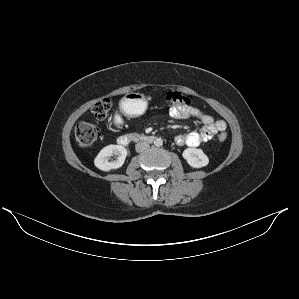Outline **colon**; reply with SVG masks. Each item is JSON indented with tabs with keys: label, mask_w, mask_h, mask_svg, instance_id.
Returning a JSON list of instances; mask_svg holds the SVG:
<instances>
[{
	"label": "colon",
	"mask_w": 299,
	"mask_h": 299,
	"mask_svg": "<svg viewBox=\"0 0 299 299\" xmlns=\"http://www.w3.org/2000/svg\"><path fill=\"white\" fill-rule=\"evenodd\" d=\"M164 102L168 107L186 106L189 103L187 96L177 91H168L164 94ZM110 101L106 98L99 100L92 107L95 118L102 120L108 116L110 111ZM100 136V130L93 123H80L75 128V139L80 146L87 147L94 144ZM227 139V134L221 132L218 140L223 142Z\"/></svg>",
	"instance_id": "obj_1"
}]
</instances>
